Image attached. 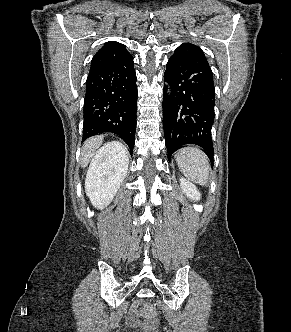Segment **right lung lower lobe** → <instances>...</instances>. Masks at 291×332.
I'll return each mask as SVG.
<instances>
[{
    "mask_svg": "<svg viewBox=\"0 0 291 332\" xmlns=\"http://www.w3.org/2000/svg\"><path fill=\"white\" fill-rule=\"evenodd\" d=\"M133 57L91 67L84 99L83 140L104 132L119 135L131 153L135 144L137 86Z\"/></svg>",
    "mask_w": 291,
    "mask_h": 332,
    "instance_id": "1",
    "label": "right lung lower lobe"
}]
</instances>
